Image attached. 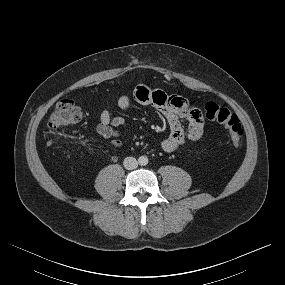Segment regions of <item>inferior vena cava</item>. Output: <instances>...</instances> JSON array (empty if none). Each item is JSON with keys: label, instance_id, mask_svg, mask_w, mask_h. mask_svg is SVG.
<instances>
[{"label": "inferior vena cava", "instance_id": "1", "mask_svg": "<svg viewBox=\"0 0 285 285\" xmlns=\"http://www.w3.org/2000/svg\"><path fill=\"white\" fill-rule=\"evenodd\" d=\"M123 164L128 170H134L138 167V161L134 157L125 158Z\"/></svg>", "mask_w": 285, "mask_h": 285}]
</instances>
